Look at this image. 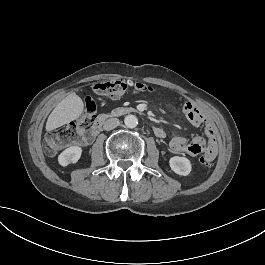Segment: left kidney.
Masks as SVG:
<instances>
[{"mask_svg":"<svg viewBox=\"0 0 265 265\" xmlns=\"http://www.w3.org/2000/svg\"><path fill=\"white\" fill-rule=\"evenodd\" d=\"M169 164L178 175L187 176L191 172V163L185 157L174 156L170 159Z\"/></svg>","mask_w":265,"mask_h":265,"instance_id":"left-kidney-1","label":"left kidney"}]
</instances>
